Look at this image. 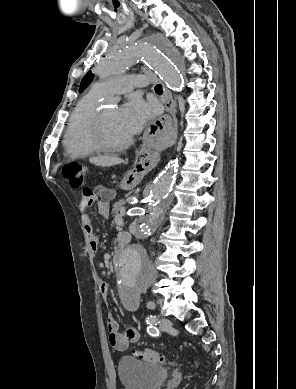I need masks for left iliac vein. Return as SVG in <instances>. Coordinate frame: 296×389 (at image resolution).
<instances>
[{"label":"left iliac vein","mask_w":296,"mask_h":389,"mask_svg":"<svg viewBox=\"0 0 296 389\" xmlns=\"http://www.w3.org/2000/svg\"><path fill=\"white\" fill-rule=\"evenodd\" d=\"M172 325L171 321L167 318L161 317L160 318V328L163 330H167Z\"/></svg>","instance_id":"obj_1"}]
</instances>
